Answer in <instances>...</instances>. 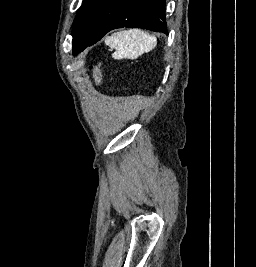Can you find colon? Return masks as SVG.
I'll use <instances>...</instances> for the list:
<instances>
[{"mask_svg": "<svg viewBox=\"0 0 256 267\" xmlns=\"http://www.w3.org/2000/svg\"><path fill=\"white\" fill-rule=\"evenodd\" d=\"M94 75L95 82L97 84H101L103 80V75H102V69L101 66L96 64L91 67Z\"/></svg>", "mask_w": 256, "mask_h": 267, "instance_id": "1", "label": "colon"}]
</instances>
